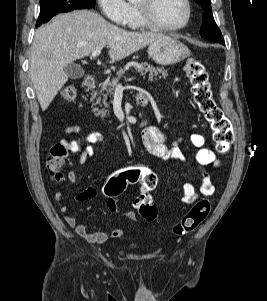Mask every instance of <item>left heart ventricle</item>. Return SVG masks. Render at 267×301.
Instances as JSON below:
<instances>
[{"instance_id":"obj_1","label":"left heart ventricle","mask_w":267,"mask_h":301,"mask_svg":"<svg viewBox=\"0 0 267 301\" xmlns=\"http://www.w3.org/2000/svg\"><path fill=\"white\" fill-rule=\"evenodd\" d=\"M141 2L136 0L135 4ZM152 13L164 25H177L185 19L186 6L183 0H155Z\"/></svg>"}]
</instances>
